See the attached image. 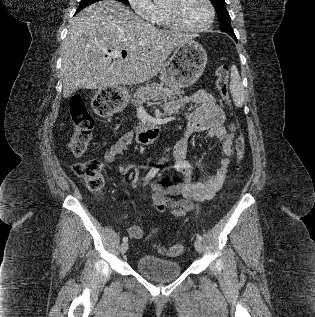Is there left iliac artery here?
I'll list each match as a JSON object with an SVG mask.
<instances>
[{
  "instance_id": "1",
  "label": "left iliac artery",
  "mask_w": 315,
  "mask_h": 317,
  "mask_svg": "<svg viewBox=\"0 0 315 317\" xmlns=\"http://www.w3.org/2000/svg\"><path fill=\"white\" fill-rule=\"evenodd\" d=\"M196 237H197V239L200 240V241H202V239H203L200 234H197Z\"/></svg>"
}]
</instances>
